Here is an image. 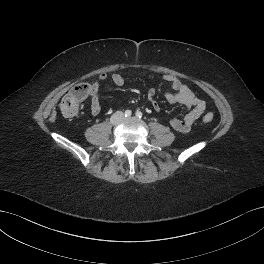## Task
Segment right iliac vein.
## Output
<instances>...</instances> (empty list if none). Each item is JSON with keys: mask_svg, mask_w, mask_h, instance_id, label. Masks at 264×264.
I'll return each mask as SVG.
<instances>
[{"mask_svg": "<svg viewBox=\"0 0 264 264\" xmlns=\"http://www.w3.org/2000/svg\"><path fill=\"white\" fill-rule=\"evenodd\" d=\"M122 114L121 113H116L113 117L114 121L117 122L119 121L120 119H122Z\"/></svg>", "mask_w": 264, "mask_h": 264, "instance_id": "right-iliac-vein-1", "label": "right iliac vein"}]
</instances>
